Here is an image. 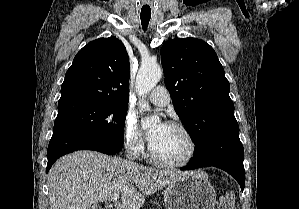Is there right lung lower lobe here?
I'll use <instances>...</instances> for the list:
<instances>
[{"instance_id":"1","label":"right lung lower lobe","mask_w":299,"mask_h":209,"mask_svg":"<svg viewBox=\"0 0 299 209\" xmlns=\"http://www.w3.org/2000/svg\"><path fill=\"white\" fill-rule=\"evenodd\" d=\"M122 146L123 142L105 136L90 135L70 128L54 129L47 150L48 164L46 173L50 170L52 164L65 154L77 150H95L113 155L119 152Z\"/></svg>"}]
</instances>
